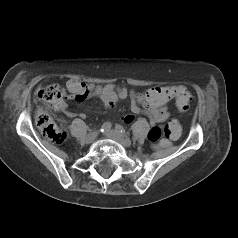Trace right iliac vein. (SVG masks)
Listing matches in <instances>:
<instances>
[{
    "mask_svg": "<svg viewBox=\"0 0 238 238\" xmlns=\"http://www.w3.org/2000/svg\"><path fill=\"white\" fill-rule=\"evenodd\" d=\"M97 136H98V131L90 132V133L86 136L85 142H86L87 144L92 143V142L95 141V139L97 138Z\"/></svg>",
    "mask_w": 238,
    "mask_h": 238,
    "instance_id": "obj_1",
    "label": "right iliac vein"
}]
</instances>
